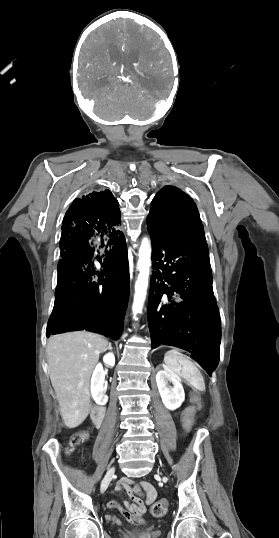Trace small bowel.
I'll use <instances>...</instances> for the list:
<instances>
[{"label": "small bowel", "mask_w": 279, "mask_h": 538, "mask_svg": "<svg viewBox=\"0 0 279 538\" xmlns=\"http://www.w3.org/2000/svg\"><path fill=\"white\" fill-rule=\"evenodd\" d=\"M131 484H133V481L131 479L123 478L118 481L114 488V491L120 492L123 490H127L131 494V490L129 488ZM141 485L144 489L143 498H137L132 496L134 503L123 501V505L117 501L112 500L107 503V508L119 510L128 521L134 524L141 523L142 516L146 511V506L151 504L156 498V490L150 483L142 482ZM106 520L117 525L122 524L120 517L117 515H106Z\"/></svg>", "instance_id": "small-bowel-1"}]
</instances>
